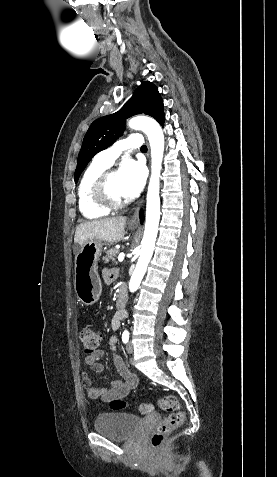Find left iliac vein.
Here are the masks:
<instances>
[{
	"mask_svg": "<svg viewBox=\"0 0 277 477\" xmlns=\"http://www.w3.org/2000/svg\"><path fill=\"white\" fill-rule=\"evenodd\" d=\"M126 350L129 354L133 353V344L131 342L127 343Z\"/></svg>",
	"mask_w": 277,
	"mask_h": 477,
	"instance_id": "1",
	"label": "left iliac vein"
}]
</instances>
